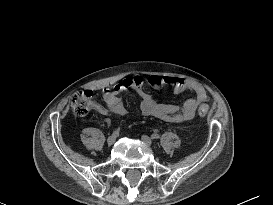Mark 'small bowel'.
Wrapping results in <instances>:
<instances>
[{
	"mask_svg": "<svg viewBox=\"0 0 273 205\" xmlns=\"http://www.w3.org/2000/svg\"><path fill=\"white\" fill-rule=\"evenodd\" d=\"M145 84L153 88L170 86L174 94L192 92L194 97L187 99L182 106L169 103H159L145 90ZM128 89H133L141 98L140 109L144 115H151L166 122L182 123L191 120L199 106L209 101L206 89L199 84L173 76H149L145 81L140 75L127 77L110 89L103 91L105 106L96 105L95 110L102 115L110 113L125 115L127 109L119 95Z\"/></svg>",
	"mask_w": 273,
	"mask_h": 205,
	"instance_id": "small-bowel-1",
	"label": "small bowel"
}]
</instances>
